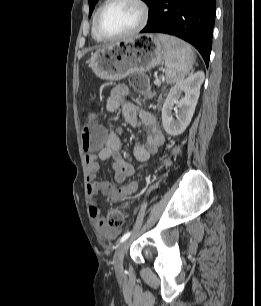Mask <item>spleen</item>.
<instances>
[{
    "label": "spleen",
    "mask_w": 261,
    "mask_h": 306,
    "mask_svg": "<svg viewBox=\"0 0 261 306\" xmlns=\"http://www.w3.org/2000/svg\"><path fill=\"white\" fill-rule=\"evenodd\" d=\"M163 45V56L166 66V81L177 83L183 80L192 70L194 53L184 41L166 34H158Z\"/></svg>",
    "instance_id": "3e777b00"
}]
</instances>
